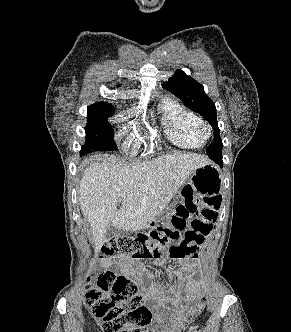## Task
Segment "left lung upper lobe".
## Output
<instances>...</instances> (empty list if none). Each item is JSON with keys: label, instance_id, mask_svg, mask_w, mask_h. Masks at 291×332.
Segmentation results:
<instances>
[{"label": "left lung upper lobe", "instance_id": "5c2ea615", "mask_svg": "<svg viewBox=\"0 0 291 332\" xmlns=\"http://www.w3.org/2000/svg\"><path fill=\"white\" fill-rule=\"evenodd\" d=\"M162 86L179 97L186 106L199 113L210 123L215 131V138L207 149V154L210 158L222 155V140L219 135L216 107L205 94L203 85L187 76L183 71L177 70Z\"/></svg>", "mask_w": 291, "mask_h": 332}]
</instances>
